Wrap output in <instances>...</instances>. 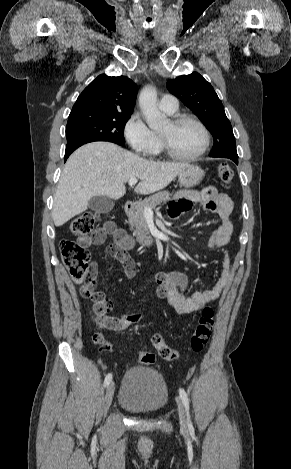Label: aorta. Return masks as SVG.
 I'll return each instance as SVG.
<instances>
[{
  "label": "aorta",
  "mask_w": 291,
  "mask_h": 469,
  "mask_svg": "<svg viewBox=\"0 0 291 469\" xmlns=\"http://www.w3.org/2000/svg\"><path fill=\"white\" fill-rule=\"evenodd\" d=\"M139 107L152 130H160L167 125L168 119L157 107V92L151 86H145L139 95Z\"/></svg>",
  "instance_id": "aorta-1"
}]
</instances>
